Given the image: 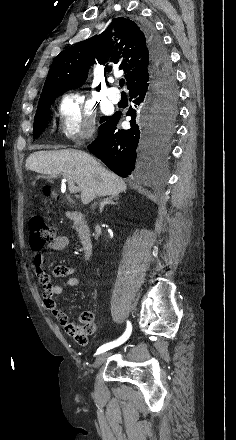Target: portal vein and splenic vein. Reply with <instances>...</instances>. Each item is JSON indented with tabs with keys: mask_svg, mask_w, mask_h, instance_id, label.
<instances>
[{
	"mask_svg": "<svg viewBox=\"0 0 236 440\" xmlns=\"http://www.w3.org/2000/svg\"><path fill=\"white\" fill-rule=\"evenodd\" d=\"M66 181H68V188L71 193H76L77 191L80 190L78 187L75 186L73 180L64 178L63 182H66Z\"/></svg>",
	"mask_w": 236,
	"mask_h": 440,
	"instance_id": "obj_1",
	"label": "portal vein and splenic vein"
}]
</instances>
